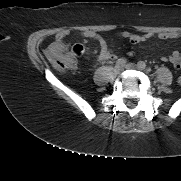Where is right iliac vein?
<instances>
[{
    "label": "right iliac vein",
    "mask_w": 181,
    "mask_h": 181,
    "mask_svg": "<svg viewBox=\"0 0 181 181\" xmlns=\"http://www.w3.org/2000/svg\"><path fill=\"white\" fill-rule=\"evenodd\" d=\"M122 71H123V66L116 65V66L114 67V73H115L116 75L120 74Z\"/></svg>",
    "instance_id": "obj_1"
}]
</instances>
